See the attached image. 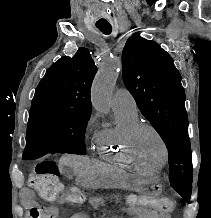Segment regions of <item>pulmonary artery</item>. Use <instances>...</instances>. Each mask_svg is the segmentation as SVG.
Wrapping results in <instances>:
<instances>
[{"label": "pulmonary artery", "mask_w": 211, "mask_h": 218, "mask_svg": "<svg viewBox=\"0 0 211 218\" xmlns=\"http://www.w3.org/2000/svg\"><path fill=\"white\" fill-rule=\"evenodd\" d=\"M113 107L137 112L136 101L131 92L126 88H119L113 96Z\"/></svg>", "instance_id": "obj_1"}]
</instances>
